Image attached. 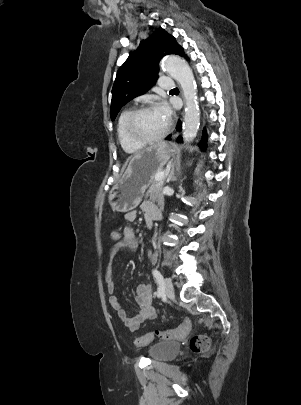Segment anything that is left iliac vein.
<instances>
[{
    "instance_id": "obj_1",
    "label": "left iliac vein",
    "mask_w": 301,
    "mask_h": 405,
    "mask_svg": "<svg viewBox=\"0 0 301 405\" xmlns=\"http://www.w3.org/2000/svg\"><path fill=\"white\" fill-rule=\"evenodd\" d=\"M164 286H165V290H164L165 295L168 298L173 299L174 298V288H173V284L169 278H165Z\"/></svg>"
}]
</instances>
